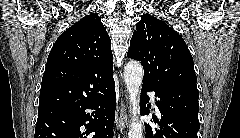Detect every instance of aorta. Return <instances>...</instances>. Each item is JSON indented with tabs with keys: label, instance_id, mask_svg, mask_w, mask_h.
I'll return each instance as SVG.
<instances>
[{
	"label": "aorta",
	"instance_id": "aorta-1",
	"mask_svg": "<svg viewBox=\"0 0 240 138\" xmlns=\"http://www.w3.org/2000/svg\"><path fill=\"white\" fill-rule=\"evenodd\" d=\"M143 67L137 61H130L124 68V81L129 94L131 105V123L128 138H142V124L138 121L139 94L143 81Z\"/></svg>",
	"mask_w": 240,
	"mask_h": 138
}]
</instances>
